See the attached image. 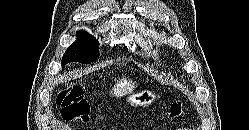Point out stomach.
<instances>
[{"label":"stomach","instance_id":"1","mask_svg":"<svg viewBox=\"0 0 249 130\" xmlns=\"http://www.w3.org/2000/svg\"><path fill=\"white\" fill-rule=\"evenodd\" d=\"M158 97L159 95L154 93L153 91L143 90L129 95L127 97V101L133 106L145 107L151 105Z\"/></svg>","mask_w":249,"mask_h":130}]
</instances>
